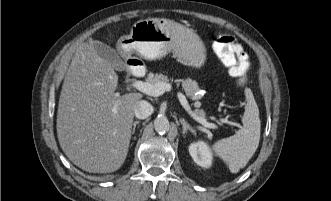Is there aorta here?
I'll return each mask as SVG.
<instances>
[{"label":"aorta","instance_id":"obj_1","mask_svg":"<svg viewBox=\"0 0 331 201\" xmlns=\"http://www.w3.org/2000/svg\"><path fill=\"white\" fill-rule=\"evenodd\" d=\"M154 128L156 132L164 134L169 131V121L165 116H159L154 120Z\"/></svg>","mask_w":331,"mask_h":201}]
</instances>
